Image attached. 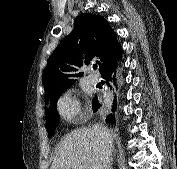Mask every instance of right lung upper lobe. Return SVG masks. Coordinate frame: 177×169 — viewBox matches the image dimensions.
<instances>
[{
    "label": "right lung upper lobe",
    "mask_w": 177,
    "mask_h": 169,
    "mask_svg": "<svg viewBox=\"0 0 177 169\" xmlns=\"http://www.w3.org/2000/svg\"><path fill=\"white\" fill-rule=\"evenodd\" d=\"M121 52L117 35L105 18L80 14L76 27L54 50L43 73L45 102L58 99L73 85V78L83 75L76 74L78 67L95 60L102 72L120 60Z\"/></svg>",
    "instance_id": "1"
}]
</instances>
